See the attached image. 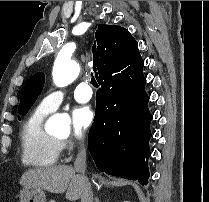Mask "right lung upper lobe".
<instances>
[{
	"label": "right lung upper lobe",
	"mask_w": 209,
	"mask_h": 202,
	"mask_svg": "<svg viewBox=\"0 0 209 202\" xmlns=\"http://www.w3.org/2000/svg\"><path fill=\"white\" fill-rule=\"evenodd\" d=\"M95 37L93 70L102 88L127 86L143 74L138 44L125 28L99 24Z\"/></svg>",
	"instance_id": "right-lung-upper-lobe-1"
}]
</instances>
